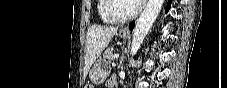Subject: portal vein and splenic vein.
Here are the masks:
<instances>
[{
  "label": "portal vein and splenic vein",
  "mask_w": 227,
  "mask_h": 88,
  "mask_svg": "<svg viewBox=\"0 0 227 88\" xmlns=\"http://www.w3.org/2000/svg\"><path fill=\"white\" fill-rule=\"evenodd\" d=\"M113 58H114V59H118V58H119V54H115V55L113 56Z\"/></svg>",
  "instance_id": "obj_1"
}]
</instances>
